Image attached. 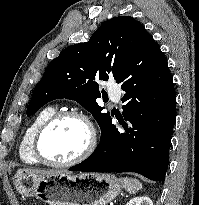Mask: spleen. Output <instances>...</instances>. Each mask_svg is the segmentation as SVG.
<instances>
[{
	"label": "spleen",
	"mask_w": 199,
	"mask_h": 205,
	"mask_svg": "<svg viewBox=\"0 0 199 205\" xmlns=\"http://www.w3.org/2000/svg\"><path fill=\"white\" fill-rule=\"evenodd\" d=\"M120 182L125 190L131 194L137 193L142 188V183L135 178L123 177L120 178Z\"/></svg>",
	"instance_id": "3e777b00"
}]
</instances>
